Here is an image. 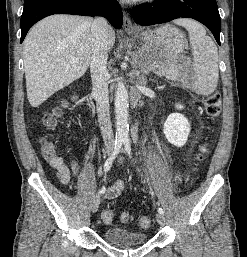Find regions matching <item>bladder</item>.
Listing matches in <instances>:
<instances>
[{
	"mask_svg": "<svg viewBox=\"0 0 247 257\" xmlns=\"http://www.w3.org/2000/svg\"><path fill=\"white\" fill-rule=\"evenodd\" d=\"M104 239L116 246H135L144 244L148 235L144 232L133 231L120 227H109L103 231Z\"/></svg>",
	"mask_w": 247,
	"mask_h": 257,
	"instance_id": "obj_1",
	"label": "bladder"
}]
</instances>
